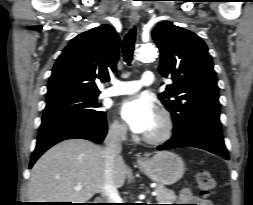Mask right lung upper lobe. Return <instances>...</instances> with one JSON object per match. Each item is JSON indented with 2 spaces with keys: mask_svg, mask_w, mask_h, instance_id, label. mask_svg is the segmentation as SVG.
Instances as JSON below:
<instances>
[{
  "mask_svg": "<svg viewBox=\"0 0 253 205\" xmlns=\"http://www.w3.org/2000/svg\"><path fill=\"white\" fill-rule=\"evenodd\" d=\"M120 40L115 29L100 25L76 36L58 57L48 83L47 101L99 95L95 80L116 72Z\"/></svg>",
  "mask_w": 253,
  "mask_h": 205,
  "instance_id": "right-lung-upper-lobe-1",
  "label": "right lung upper lobe"
}]
</instances>
